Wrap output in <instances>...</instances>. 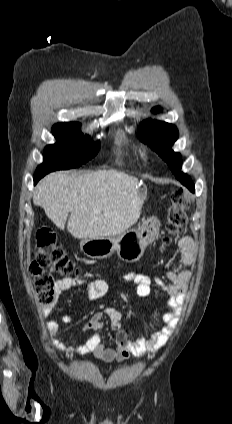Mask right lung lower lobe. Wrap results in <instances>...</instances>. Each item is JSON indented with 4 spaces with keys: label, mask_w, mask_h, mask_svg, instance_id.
I'll return each instance as SVG.
<instances>
[{
    "label": "right lung lower lobe",
    "mask_w": 232,
    "mask_h": 424,
    "mask_svg": "<svg viewBox=\"0 0 232 424\" xmlns=\"http://www.w3.org/2000/svg\"><path fill=\"white\" fill-rule=\"evenodd\" d=\"M41 178H39V177H34V184H36L39 180H40Z\"/></svg>",
    "instance_id": "right-lung-lower-lobe-1"
}]
</instances>
